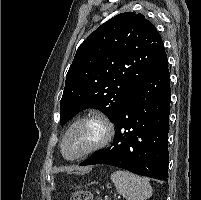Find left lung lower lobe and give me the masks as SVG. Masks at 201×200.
<instances>
[{"instance_id": "obj_1", "label": "left lung lower lobe", "mask_w": 201, "mask_h": 200, "mask_svg": "<svg viewBox=\"0 0 201 200\" xmlns=\"http://www.w3.org/2000/svg\"><path fill=\"white\" fill-rule=\"evenodd\" d=\"M170 74L166 53L120 106L114 143L80 165L108 164L159 180L168 177Z\"/></svg>"}]
</instances>
